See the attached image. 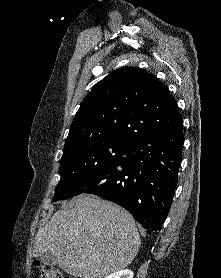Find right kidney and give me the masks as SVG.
I'll return each mask as SVG.
<instances>
[{"mask_svg":"<svg viewBox=\"0 0 221 278\" xmlns=\"http://www.w3.org/2000/svg\"><path fill=\"white\" fill-rule=\"evenodd\" d=\"M105 278H133V272L129 269H124L110 274Z\"/></svg>","mask_w":221,"mask_h":278,"instance_id":"right-kidney-1","label":"right kidney"}]
</instances>
